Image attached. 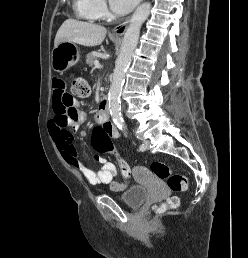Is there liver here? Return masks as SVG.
<instances>
[{"label":"liver","mask_w":248,"mask_h":258,"mask_svg":"<svg viewBox=\"0 0 248 258\" xmlns=\"http://www.w3.org/2000/svg\"><path fill=\"white\" fill-rule=\"evenodd\" d=\"M105 27L74 19H67L57 31L54 47L61 42H72L87 47L100 45L105 39Z\"/></svg>","instance_id":"6515ba94"}]
</instances>
